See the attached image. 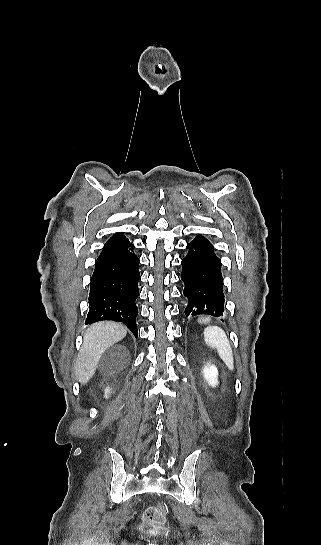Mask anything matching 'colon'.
<instances>
[{"label": "colon", "instance_id": "colon-1", "mask_svg": "<svg viewBox=\"0 0 321 545\" xmlns=\"http://www.w3.org/2000/svg\"><path fill=\"white\" fill-rule=\"evenodd\" d=\"M165 518V510L162 507H149L143 514V531L152 535L161 534L164 531Z\"/></svg>", "mask_w": 321, "mask_h": 545}]
</instances>
